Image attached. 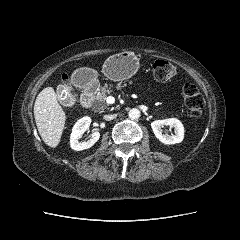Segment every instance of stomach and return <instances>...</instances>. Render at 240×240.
I'll return each mask as SVG.
<instances>
[{
  "instance_id": "0dacf381",
  "label": "stomach",
  "mask_w": 240,
  "mask_h": 240,
  "mask_svg": "<svg viewBox=\"0 0 240 240\" xmlns=\"http://www.w3.org/2000/svg\"><path fill=\"white\" fill-rule=\"evenodd\" d=\"M138 67V58L132 52L124 51L109 57L105 61L102 71L108 79L121 81L132 77ZM76 72L86 75L88 79L93 77V71L87 68H81Z\"/></svg>"
}]
</instances>
